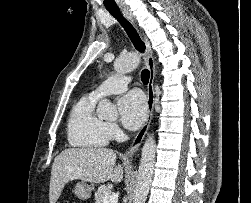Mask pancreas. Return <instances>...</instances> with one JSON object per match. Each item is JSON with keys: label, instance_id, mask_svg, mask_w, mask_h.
<instances>
[{"label": "pancreas", "instance_id": "pancreas-1", "mask_svg": "<svg viewBox=\"0 0 251 203\" xmlns=\"http://www.w3.org/2000/svg\"><path fill=\"white\" fill-rule=\"evenodd\" d=\"M112 191L110 187L101 185L99 186L97 192H95V203H103V198L107 195H111Z\"/></svg>", "mask_w": 251, "mask_h": 203}]
</instances>
